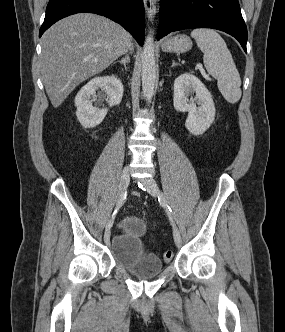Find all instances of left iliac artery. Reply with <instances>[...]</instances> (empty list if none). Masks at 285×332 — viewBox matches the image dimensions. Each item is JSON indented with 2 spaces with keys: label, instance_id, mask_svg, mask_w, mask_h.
Wrapping results in <instances>:
<instances>
[{
  "label": "left iliac artery",
  "instance_id": "44dca946",
  "mask_svg": "<svg viewBox=\"0 0 285 332\" xmlns=\"http://www.w3.org/2000/svg\"><path fill=\"white\" fill-rule=\"evenodd\" d=\"M158 198H159V202L161 203V205L166 209V212L169 216L170 221L173 223V219H172V215H171V212H172L171 207L168 205V203H167L165 197L163 196V194L159 193Z\"/></svg>",
  "mask_w": 285,
  "mask_h": 332
}]
</instances>
